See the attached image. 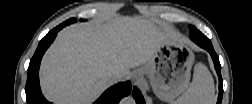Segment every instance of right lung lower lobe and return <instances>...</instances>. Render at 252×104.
Returning a JSON list of instances; mask_svg holds the SVG:
<instances>
[{"label":"right lung lower lobe","mask_w":252,"mask_h":104,"mask_svg":"<svg viewBox=\"0 0 252 104\" xmlns=\"http://www.w3.org/2000/svg\"><path fill=\"white\" fill-rule=\"evenodd\" d=\"M64 25H59L50 31L40 42L27 71L26 99L28 104H50L42 95L39 85V66L43 54L50 44L54 41L57 33ZM131 92V83L129 81L116 84L106 90L94 104H118V102Z\"/></svg>","instance_id":"1"}]
</instances>
